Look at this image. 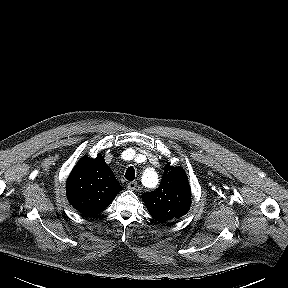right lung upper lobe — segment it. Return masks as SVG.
<instances>
[{"mask_svg": "<svg viewBox=\"0 0 288 288\" xmlns=\"http://www.w3.org/2000/svg\"><path fill=\"white\" fill-rule=\"evenodd\" d=\"M66 189L68 200L76 210L94 216L105 210L122 187L99 154L95 159L79 160L68 177Z\"/></svg>", "mask_w": 288, "mask_h": 288, "instance_id": "1", "label": "right lung upper lobe"}]
</instances>
